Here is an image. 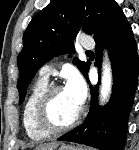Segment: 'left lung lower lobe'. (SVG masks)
<instances>
[{
  "instance_id": "obj_1",
  "label": "left lung lower lobe",
  "mask_w": 139,
  "mask_h": 150,
  "mask_svg": "<svg viewBox=\"0 0 139 150\" xmlns=\"http://www.w3.org/2000/svg\"><path fill=\"white\" fill-rule=\"evenodd\" d=\"M94 38L97 42L96 66L101 65L104 43L108 47L114 80L110 102L106 107L99 108L97 89L91 87L87 118L58 140L85 144L101 150H123L127 120L137 86L139 62L131 26L117 3L111 9L106 24Z\"/></svg>"
}]
</instances>
